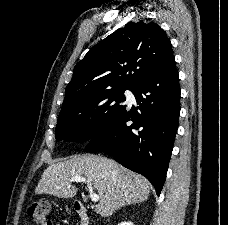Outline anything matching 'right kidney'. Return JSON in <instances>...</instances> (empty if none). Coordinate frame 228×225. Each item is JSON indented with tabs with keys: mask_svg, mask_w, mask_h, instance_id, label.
<instances>
[{
	"mask_svg": "<svg viewBox=\"0 0 228 225\" xmlns=\"http://www.w3.org/2000/svg\"><path fill=\"white\" fill-rule=\"evenodd\" d=\"M119 225H133V223H119Z\"/></svg>",
	"mask_w": 228,
	"mask_h": 225,
	"instance_id": "ca27d5eb",
	"label": "right kidney"
}]
</instances>
